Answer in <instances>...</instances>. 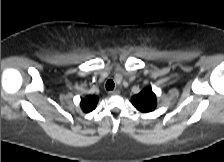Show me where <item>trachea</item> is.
I'll return each mask as SVG.
<instances>
[{
	"instance_id": "1",
	"label": "trachea",
	"mask_w": 224,
	"mask_h": 162,
	"mask_svg": "<svg viewBox=\"0 0 224 162\" xmlns=\"http://www.w3.org/2000/svg\"><path fill=\"white\" fill-rule=\"evenodd\" d=\"M115 87V84L113 82V80H108L106 82V89L109 91V90H113Z\"/></svg>"
}]
</instances>
